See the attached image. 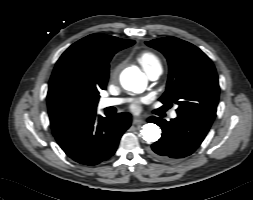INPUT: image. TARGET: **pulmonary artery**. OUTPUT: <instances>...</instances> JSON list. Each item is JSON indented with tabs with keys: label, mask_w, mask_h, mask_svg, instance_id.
<instances>
[{
	"label": "pulmonary artery",
	"mask_w": 253,
	"mask_h": 200,
	"mask_svg": "<svg viewBox=\"0 0 253 200\" xmlns=\"http://www.w3.org/2000/svg\"><path fill=\"white\" fill-rule=\"evenodd\" d=\"M148 78L152 81L157 80L160 75L162 74V67L158 66V67H154L148 70H145ZM125 100L122 98H103L99 101V107L101 109L107 108V107H113V106H117L120 105L124 102ZM170 117L171 118H176L177 117V113L176 111H172L170 113Z\"/></svg>",
	"instance_id": "obj_1"
}]
</instances>
